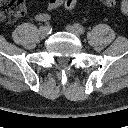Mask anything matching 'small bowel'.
<instances>
[{"mask_svg":"<svg viewBox=\"0 0 128 128\" xmlns=\"http://www.w3.org/2000/svg\"><path fill=\"white\" fill-rule=\"evenodd\" d=\"M63 4V0H48L47 8L48 10H55ZM36 20L39 22H46L50 19V14L48 12H39L35 16Z\"/></svg>","mask_w":128,"mask_h":128,"instance_id":"c3829d8e","label":"small bowel"}]
</instances>
